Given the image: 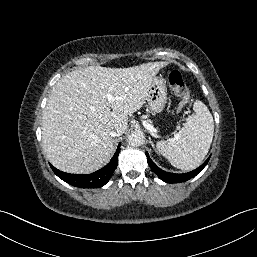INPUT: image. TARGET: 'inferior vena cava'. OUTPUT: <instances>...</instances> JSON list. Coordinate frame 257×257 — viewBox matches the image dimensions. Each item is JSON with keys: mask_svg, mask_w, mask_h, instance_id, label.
Instances as JSON below:
<instances>
[{"mask_svg": "<svg viewBox=\"0 0 257 257\" xmlns=\"http://www.w3.org/2000/svg\"><path fill=\"white\" fill-rule=\"evenodd\" d=\"M123 134V131L121 129H114L110 131V136L111 137H117Z\"/></svg>", "mask_w": 257, "mask_h": 257, "instance_id": "inferior-vena-cava-1", "label": "inferior vena cava"}]
</instances>
